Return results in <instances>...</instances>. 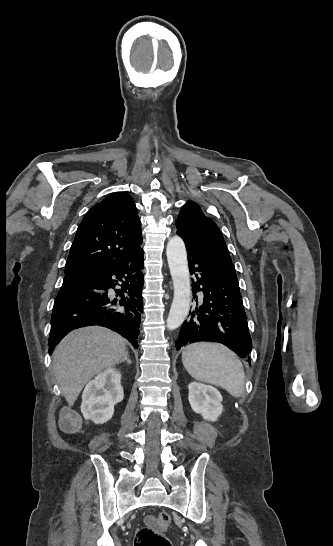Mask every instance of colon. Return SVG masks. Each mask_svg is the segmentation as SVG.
<instances>
[{"label":"colon","mask_w":333,"mask_h":546,"mask_svg":"<svg viewBox=\"0 0 333 546\" xmlns=\"http://www.w3.org/2000/svg\"><path fill=\"white\" fill-rule=\"evenodd\" d=\"M157 523L161 528L168 527L171 523L170 514L167 512H160L157 515ZM135 546H171V544L160 530L143 527L136 533Z\"/></svg>","instance_id":"obj_1"}]
</instances>
